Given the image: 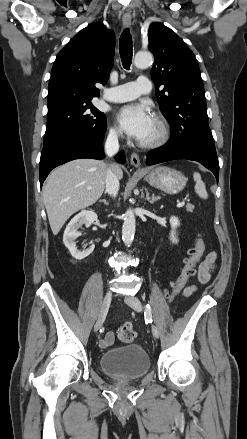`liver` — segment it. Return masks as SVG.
<instances>
[{
	"label": "liver",
	"mask_w": 247,
	"mask_h": 439,
	"mask_svg": "<svg viewBox=\"0 0 247 439\" xmlns=\"http://www.w3.org/2000/svg\"><path fill=\"white\" fill-rule=\"evenodd\" d=\"M115 166L118 178H122L121 168ZM106 173V163L94 159H76L50 173L42 196L54 235L71 215L94 204L102 196Z\"/></svg>",
	"instance_id": "1"
}]
</instances>
